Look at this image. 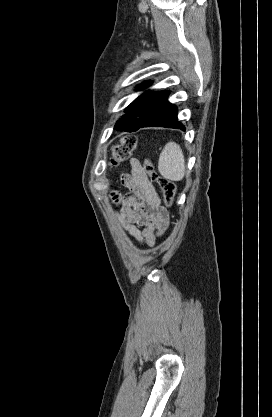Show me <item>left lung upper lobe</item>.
Wrapping results in <instances>:
<instances>
[{
    "instance_id": "1",
    "label": "left lung upper lobe",
    "mask_w": 272,
    "mask_h": 417,
    "mask_svg": "<svg viewBox=\"0 0 272 417\" xmlns=\"http://www.w3.org/2000/svg\"><path fill=\"white\" fill-rule=\"evenodd\" d=\"M148 84L144 83L138 87L142 88ZM168 95L169 91L146 92L142 94L125 109L126 114L116 122L114 129L126 132H133L139 129L159 109Z\"/></svg>"
}]
</instances>
